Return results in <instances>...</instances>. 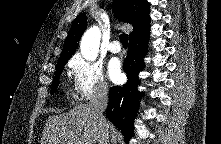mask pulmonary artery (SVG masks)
Masks as SVG:
<instances>
[{
	"instance_id": "e3ab8cb5",
	"label": "pulmonary artery",
	"mask_w": 221,
	"mask_h": 144,
	"mask_svg": "<svg viewBox=\"0 0 221 144\" xmlns=\"http://www.w3.org/2000/svg\"><path fill=\"white\" fill-rule=\"evenodd\" d=\"M108 49L112 53H119L121 51V46L118 41L114 40L110 42V44L108 45Z\"/></svg>"
}]
</instances>
